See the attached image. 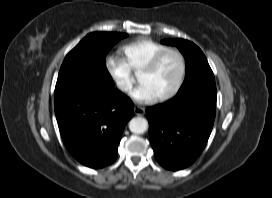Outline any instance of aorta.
I'll use <instances>...</instances> for the list:
<instances>
[{"label": "aorta", "instance_id": "1", "mask_svg": "<svg viewBox=\"0 0 272 198\" xmlns=\"http://www.w3.org/2000/svg\"><path fill=\"white\" fill-rule=\"evenodd\" d=\"M129 129L132 133L142 134L148 129V121L142 117H135L130 120Z\"/></svg>", "mask_w": 272, "mask_h": 198}]
</instances>
